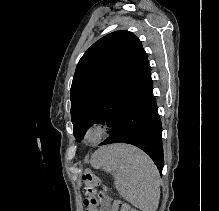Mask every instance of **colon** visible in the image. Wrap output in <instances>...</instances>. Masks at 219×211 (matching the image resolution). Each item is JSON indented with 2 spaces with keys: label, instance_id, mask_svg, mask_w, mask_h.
<instances>
[{
  "label": "colon",
  "instance_id": "1",
  "mask_svg": "<svg viewBox=\"0 0 219 211\" xmlns=\"http://www.w3.org/2000/svg\"><path fill=\"white\" fill-rule=\"evenodd\" d=\"M83 181L85 183L84 194L86 196L85 205L87 206L86 211H98L99 197H98V188L101 186L102 181L98 174L92 170H85L83 174ZM115 208L119 211H138L130 207L127 204L115 201L113 203Z\"/></svg>",
  "mask_w": 219,
  "mask_h": 211
}]
</instances>
